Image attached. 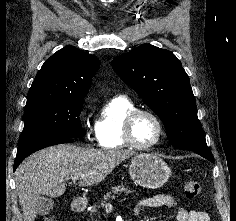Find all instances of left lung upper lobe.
I'll return each instance as SVG.
<instances>
[{"instance_id":"left-lung-upper-lobe-1","label":"left lung upper lobe","mask_w":236,"mask_h":221,"mask_svg":"<svg viewBox=\"0 0 236 221\" xmlns=\"http://www.w3.org/2000/svg\"><path fill=\"white\" fill-rule=\"evenodd\" d=\"M112 67L160 117L173 147L191 151L208 148L189 76L172 52L142 44L116 57Z\"/></svg>"}]
</instances>
